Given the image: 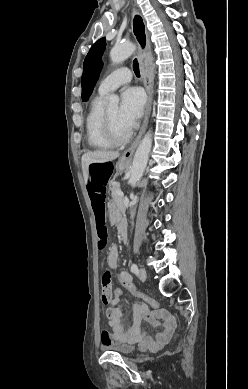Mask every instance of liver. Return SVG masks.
Segmentation results:
<instances>
[{
	"label": "liver",
	"instance_id": "1",
	"mask_svg": "<svg viewBox=\"0 0 248 389\" xmlns=\"http://www.w3.org/2000/svg\"><path fill=\"white\" fill-rule=\"evenodd\" d=\"M119 156L117 151H89L83 154L82 162V171L84 179L87 181L89 177V165L92 163H106L116 159Z\"/></svg>",
	"mask_w": 248,
	"mask_h": 389
}]
</instances>
